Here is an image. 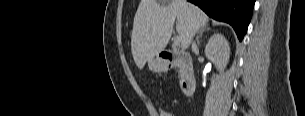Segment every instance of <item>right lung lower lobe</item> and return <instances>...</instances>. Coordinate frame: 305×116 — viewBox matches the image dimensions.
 Instances as JSON below:
<instances>
[{"instance_id": "right-lung-lower-lobe-1", "label": "right lung lower lobe", "mask_w": 305, "mask_h": 116, "mask_svg": "<svg viewBox=\"0 0 305 116\" xmlns=\"http://www.w3.org/2000/svg\"><path fill=\"white\" fill-rule=\"evenodd\" d=\"M199 6L210 17L227 22L241 41L246 34L255 0H188Z\"/></svg>"}]
</instances>
